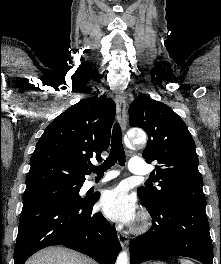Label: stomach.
Returning a JSON list of instances; mask_svg holds the SVG:
<instances>
[{
  "instance_id": "obj_1",
  "label": "stomach",
  "mask_w": 221,
  "mask_h": 264,
  "mask_svg": "<svg viewBox=\"0 0 221 264\" xmlns=\"http://www.w3.org/2000/svg\"><path fill=\"white\" fill-rule=\"evenodd\" d=\"M152 264H165V263H163V262H154Z\"/></svg>"
}]
</instances>
